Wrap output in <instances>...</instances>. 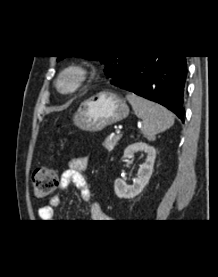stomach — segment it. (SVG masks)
<instances>
[{
	"label": "stomach",
	"mask_w": 218,
	"mask_h": 277,
	"mask_svg": "<svg viewBox=\"0 0 218 277\" xmlns=\"http://www.w3.org/2000/svg\"><path fill=\"white\" fill-rule=\"evenodd\" d=\"M129 114L124 99L112 92H100L83 101L73 117L74 125L81 130L98 132Z\"/></svg>",
	"instance_id": "stomach-1"
}]
</instances>
